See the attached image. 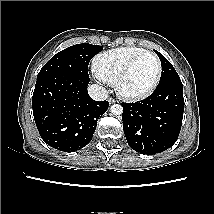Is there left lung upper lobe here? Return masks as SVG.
<instances>
[{
    "label": "left lung upper lobe",
    "instance_id": "obj_1",
    "mask_svg": "<svg viewBox=\"0 0 214 214\" xmlns=\"http://www.w3.org/2000/svg\"><path fill=\"white\" fill-rule=\"evenodd\" d=\"M156 54L158 55L161 65H162V74L160 78L159 84L171 81V80H179V76L172 66V64L158 51H155Z\"/></svg>",
    "mask_w": 214,
    "mask_h": 214
}]
</instances>
